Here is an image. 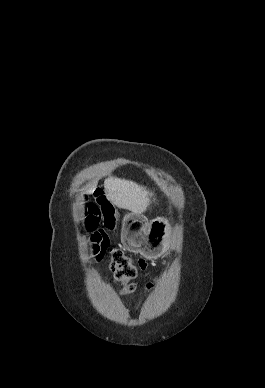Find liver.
Returning a JSON list of instances; mask_svg holds the SVG:
<instances>
[{
  "label": "liver",
  "mask_w": 265,
  "mask_h": 388,
  "mask_svg": "<svg viewBox=\"0 0 265 388\" xmlns=\"http://www.w3.org/2000/svg\"><path fill=\"white\" fill-rule=\"evenodd\" d=\"M95 188L96 182L93 186H87L86 190H95ZM104 188L107 200L117 208H122V210L142 214V212H146L151 204L150 196H153V194H150L146 188L138 186L135 182L110 176V178H106Z\"/></svg>",
  "instance_id": "1"
}]
</instances>
